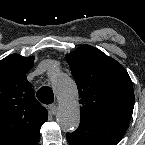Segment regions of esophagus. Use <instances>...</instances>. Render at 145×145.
Wrapping results in <instances>:
<instances>
[{
  "mask_svg": "<svg viewBox=\"0 0 145 145\" xmlns=\"http://www.w3.org/2000/svg\"><path fill=\"white\" fill-rule=\"evenodd\" d=\"M48 109L50 110V112H51L53 115H55L56 112H57V106H56V104H51V105H49V106H48Z\"/></svg>",
  "mask_w": 145,
  "mask_h": 145,
  "instance_id": "34e87169",
  "label": "esophagus"
}]
</instances>
